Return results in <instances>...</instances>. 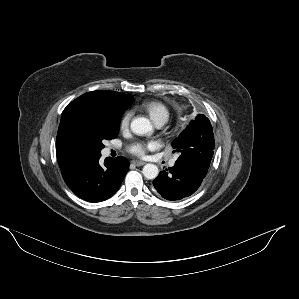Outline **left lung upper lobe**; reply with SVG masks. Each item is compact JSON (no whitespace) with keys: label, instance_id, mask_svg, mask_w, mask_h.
Segmentation results:
<instances>
[{"label":"left lung upper lobe","instance_id":"1","mask_svg":"<svg viewBox=\"0 0 299 299\" xmlns=\"http://www.w3.org/2000/svg\"><path fill=\"white\" fill-rule=\"evenodd\" d=\"M173 152L185 161L199 163L209 169L215 147L213 128L209 119L198 114L172 142Z\"/></svg>","mask_w":299,"mask_h":299}]
</instances>
